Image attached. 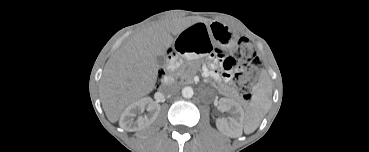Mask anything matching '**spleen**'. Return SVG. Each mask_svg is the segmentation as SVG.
Segmentation results:
<instances>
[{"instance_id":"1","label":"spleen","mask_w":369,"mask_h":152,"mask_svg":"<svg viewBox=\"0 0 369 152\" xmlns=\"http://www.w3.org/2000/svg\"><path fill=\"white\" fill-rule=\"evenodd\" d=\"M272 89L268 78L260 81L250 101L244 120V129L256 130L271 105Z\"/></svg>"}]
</instances>
